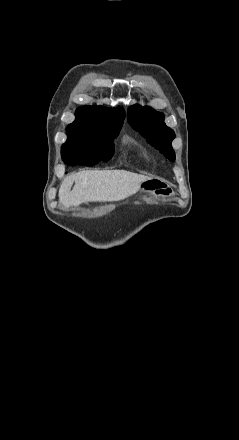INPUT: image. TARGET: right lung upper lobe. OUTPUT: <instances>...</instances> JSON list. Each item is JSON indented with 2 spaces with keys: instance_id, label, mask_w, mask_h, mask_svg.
<instances>
[{
  "instance_id": "right-lung-upper-lobe-1",
  "label": "right lung upper lobe",
  "mask_w": 239,
  "mask_h": 440,
  "mask_svg": "<svg viewBox=\"0 0 239 440\" xmlns=\"http://www.w3.org/2000/svg\"><path fill=\"white\" fill-rule=\"evenodd\" d=\"M75 115L77 120L100 121L122 126L125 111L119 107L106 109L102 106H81L77 108Z\"/></svg>"
}]
</instances>
